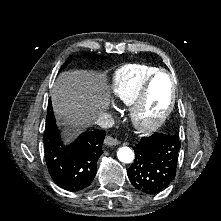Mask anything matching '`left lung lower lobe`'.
Masks as SVG:
<instances>
[{
	"instance_id": "obj_1",
	"label": "left lung lower lobe",
	"mask_w": 221,
	"mask_h": 221,
	"mask_svg": "<svg viewBox=\"0 0 221 221\" xmlns=\"http://www.w3.org/2000/svg\"><path fill=\"white\" fill-rule=\"evenodd\" d=\"M181 142L178 135L154 133L134 147L135 160L128 169L131 184L145 194H157L174 179Z\"/></svg>"
}]
</instances>
